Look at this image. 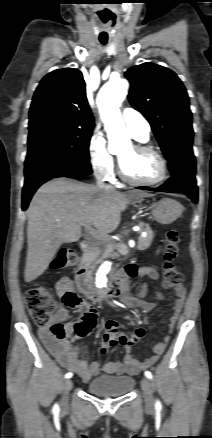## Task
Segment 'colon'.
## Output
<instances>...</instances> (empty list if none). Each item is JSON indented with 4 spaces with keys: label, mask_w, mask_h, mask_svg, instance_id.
Returning <instances> with one entry per match:
<instances>
[{
    "label": "colon",
    "mask_w": 212,
    "mask_h": 438,
    "mask_svg": "<svg viewBox=\"0 0 212 438\" xmlns=\"http://www.w3.org/2000/svg\"><path fill=\"white\" fill-rule=\"evenodd\" d=\"M180 235L177 230H169L166 234L163 249V285L174 288L183 281V276L175 260L179 255ZM77 254L71 249H62L54 258L53 269H64L77 263ZM62 302L67 306L78 303L79 297L74 290H65L60 295ZM29 314L36 325L46 327L58 340H73L88 334V327L77 323L72 328L54 319L56 301L51 290L45 286H37L27 291L25 295Z\"/></svg>",
    "instance_id": "obj_1"
}]
</instances>
